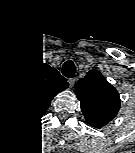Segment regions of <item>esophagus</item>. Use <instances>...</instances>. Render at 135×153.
Segmentation results:
<instances>
[{"mask_svg": "<svg viewBox=\"0 0 135 153\" xmlns=\"http://www.w3.org/2000/svg\"><path fill=\"white\" fill-rule=\"evenodd\" d=\"M68 82H69V86H70V87H73L74 84H75V82H76V78H75V77L70 78V79L68 80Z\"/></svg>", "mask_w": 135, "mask_h": 153, "instance_id": "obj_1", "label": "esophagus"}]
</instances>
